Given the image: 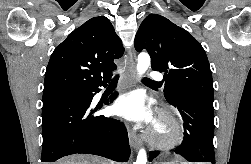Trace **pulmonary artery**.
Wrapping results in <instances>:
<instances>
[{
	"instance_id": "1",
	"label": "pulmonary artery",
	"mask_w": 251,
	"mask_h": 164,
	"mask_svg": "<svg viewBox=\"0 0 251 164\" xmlns=\"http://www.w3.org/2000/svg\"><path fill=\"white\" fill-rule=\"evenodd\" d=\"M150 79L155 81H160L163 79V76L159 72H151L150 73Z\"/></svg>"
}]
</instances>
